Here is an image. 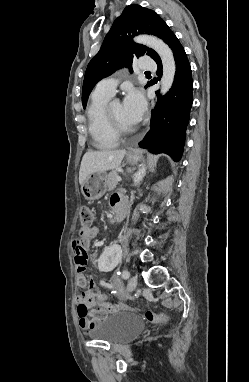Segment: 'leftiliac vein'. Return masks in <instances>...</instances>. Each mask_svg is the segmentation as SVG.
<instances>
[{"label":"left iliac vein","mask_w":249,"mask_h":382,"mask_svg":"<svg viewBox=\"0 0 249 382\" xmlns=\"http://www.w3.org/2000/svg\"><path fill=\"white\" fill-rule=\"evenodd\" d=\"M137 284H138V278L136 276H132L127 283L126 291L128 293L134 291L137 287Z\"/></svg>","instance_id":"4c4485c4"}]
</instances>
